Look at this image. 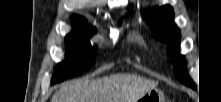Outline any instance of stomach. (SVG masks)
Segmentation results:
<instances>
[{
  "label": "stomach",
  "instance_id": "0dacf381",
  "mask_svg": "<svg viewBox=\"0 0 221 102\" xmlns=\"http://www.w3.org/2000/svg\"><path fill=\"white\" fill-rule=\"evenodd\" d=\"M136 102H165V96L159 89H151L140 97Z\"/></svg>",
  "mask_w": 221,
  "mask_h": 102
}]
</instances>
